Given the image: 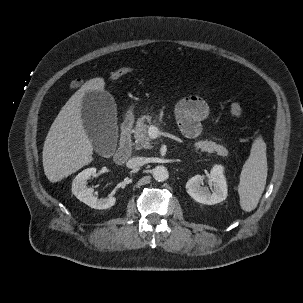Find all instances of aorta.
<instances>
[{
  "instance_id": "1",
  "label": "aorta",
  "mask_w": 303,
  "mask_h": 303,
  "mask_svg": "<svg viewBox=\"0 0 303 303\" xmlns=\"http://www.w3.org/2000/svg\"><path fill=\"white\" fill-rule=\"evenodd\" d=\"M153 177L158 182H163L168 178V170L164 166H156L153 169Z\"/></svg>"
}]
</instances>
